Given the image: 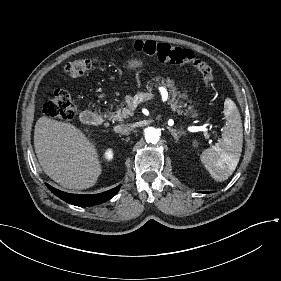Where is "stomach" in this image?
Wrapping results in <instances>:
<instances>
[{"label": "stomach", "mask_w": 281, "mask_h": 281, "mask_svg": "<svg viewBox=\"0 0 281 281\" xmlns=\"http://www.w3.org/2000/svg\"><path fill=\"white\" fill-rule=\"evenodd\" d=\"M122 66L127 71L137 72L139 70H144L147 67V62L145 59H143L141 57H129V58L124 59ZM179 86L182 89L184 87V84L182 82H179ZM186 115L188 117H191L193 115L196 116L195 106L193 104H189L187 106Z\"/></svg>", "instance_id": "stomach-1"}]
</instances>
